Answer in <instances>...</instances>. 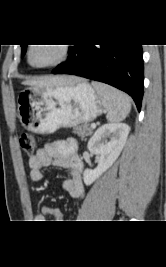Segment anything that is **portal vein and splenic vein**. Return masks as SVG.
Segmentation results:
<instances>
[{
	"label": "portal vein and splenic vein",
	"instance_id": "portal-vein-and-splenic-vein-1",
	"mask_svg": "<svg viewBox=\"0 0 166 267\" xmlns=\"http://www.w3.org/2000/svg\"><path fill=\"white\" fill-rule=\"evenodd\" d=\"M91 128L92 129L96 128V125L95 124H91Z\"/></svg>",
	"mask_w": 166,
	"mask_h": 267
}]
</instances>
